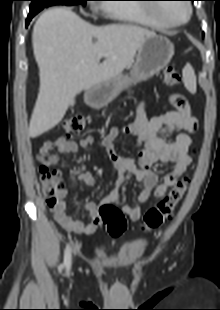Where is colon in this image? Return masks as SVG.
<instances>
[{
  "label": "colon",
  "mask_w": 220,
  "mask_h": 310,
  "mask_svg": "<svg viewBox=\"0 0 220 310\" xmlns=\"http://www.w3.org/2000/svg\"><path fill=\"white\" fill-rule=\"evenodd\" d=\"M164 81L170 86L177 85L180 82V75L174 68L168 67L164 70ZM84 126L85 118L81 114H72L63 121V129L66 135L70 137L79 135ZM40 178L47 205L56 206L64 190L60 172L41 167ZM189 182V177L178 180L167 193L159 198L153 207L146 211L142 224L143 231L150 232L158 229L171 218L173 211L184 196ZM99 215L111 236L119 237L125 232L126 219L117 206L112 203H104L99 208Z\"/></svg>",
  "instance_id": "colon-1"
}]
</instances>
